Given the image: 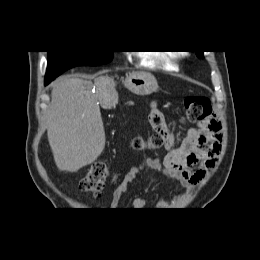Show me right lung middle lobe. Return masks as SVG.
<instances>
[{
  "instance_id": "dd1d6c3e",
  "label": "right lung middle lobe",
  "mask_w": 260,
  "mask_h": 260,
  "mask_svg": "<svg viewBox=\"0 0 260 260\" xmlns=\"http://www.w3.org/2000/svg\"><path fill=\"white\" fill-rule=\"evenodd\" d=\"M112 58L113 51H48L45 80L51 82L64 71L75 66L101 65L110 62Z\"/></svg>"
}]
</instances>
